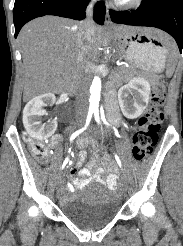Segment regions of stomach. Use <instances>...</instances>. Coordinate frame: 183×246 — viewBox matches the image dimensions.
I'll use <instances>...</instances> for the list:
<instances>
[{
	"label": "stomach",
	"instance_id": "0dacf381",
	"mask_svg": "<svg viewBox=\"0 0 183 246\" xmlns=\"http://www.w3.org/2000/svg\"><path fill=\"white\" fill-rule=\"evenodd\" d=\"M115 39L122 55L138 67L159 72L165 66L168 55L167 42L163 41L150 30L138 28L128 31L118 28Z\"/></svg>",
	"mask_w": 183,
	"mask_h": 246
}]
</instances>
